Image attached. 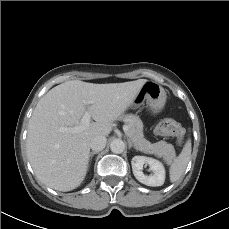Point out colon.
<instances>
[{
  "label": "colon",
  "mask_w": 229,
  "mask_h": 229,
  "mask_svg": "<svg viewBox=\"0 0 229 229\" xmlns=\"http://www.w3.org/2000/svg\"><path fill=\"white\" fill-rule=\"evenodd\" d=\"M156 132L161 136L175 137L180 145L184 142V128L171 118L160 120L156 126Z\"/></svg>",
  "instance_id": "5ec220e1"
}]
</instances>
